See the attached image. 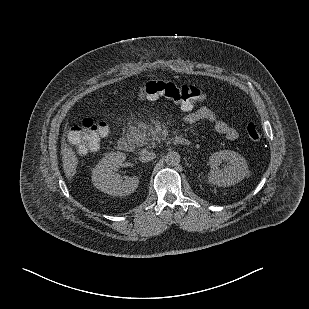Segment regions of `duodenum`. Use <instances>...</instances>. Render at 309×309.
<instances>
[{"label": "duodenum", "instance_id": "duodenum-1", "mask_svg": "<svg viewBox=\"0 0 309 309\" xmlns=\"http://www.w3.org/2000/svg\"><path fill=\"white\" fill-rule=\"evenodd\" d=\"M175 141L181 145L189 144V140L183 137H176ZM118 148L122 151H131L133 148L132 142L128 138L122 137L118 141Z\"/></svg>", "mask_w": 309, "mask_h": 309}]
</instances>
